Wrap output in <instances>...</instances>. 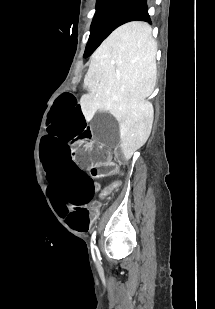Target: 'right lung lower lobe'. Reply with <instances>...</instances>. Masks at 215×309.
Returning <instances> with one entry per match:
<instances>
[{
  "label": "right lung lower lobe",
  "mask_w": 215,
  "mask_h": 309,
  "mask_svg": "<svg viewBox=\"0 0 215 309\" xmlns=\"http://www.w3.org/2000/svg\"><path fill=\"white\" fill-rule=\"evenodd\" d=\"M146 1L147 0H133L120 18L117 27L124 23L136 20L151 22Z\"/></svg>",
  "instance_id": "1"
}]
</instances>
